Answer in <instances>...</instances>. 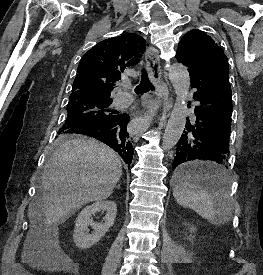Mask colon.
<instances>
[{
	"label": "colon",
	"instance_id": "5ec220e1",
	"mask_svg": "<svg viewBox=\"0 0 263 275\" xmlns=\"http://www.w3.org/2000/svg\"><path fill=\"white\" fill-rule=\"evenodd\" d=\"M52 252L57 257L56 258L57 263H64L65 262V259H64L63 255L60 253V250L55 248V249L52 250Z\"/></svg>",
	"mask_w": 263,
	"mask_h": 275
}]
</instances>
